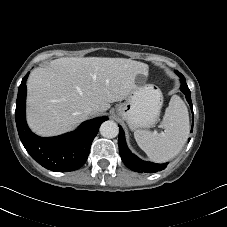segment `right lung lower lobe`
I'll return each mask as SVG.
<instances>
[{
    "mask_svg": "<svg viewBox=\"0 0 227 227\" xmlns=\"http://www.w3.org/2000/svg\"><path fill=\"white\" fill-rule=\"evenodd\" d=\"M28 74L19 86L15 111L17 130L23 146L35 161L48 170L69 172L79 169L88 158L100 125L108 118L100 117L86 121L77 130L57 137L42 138L35 135L25 119Z\"/></svg>",
    "mask_w": 227,
    "mask_h": 227,
    "instance_id": "98d812e1",
    "label": "right lung lower lobe"
}]
</instances>
